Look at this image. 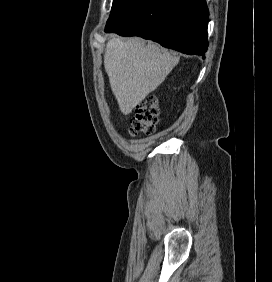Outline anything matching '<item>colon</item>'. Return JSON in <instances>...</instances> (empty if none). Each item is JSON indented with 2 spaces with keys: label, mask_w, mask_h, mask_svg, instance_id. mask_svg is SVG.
Returning a JSON list of instances; mask_svg holds the SVG:
<instances>
[{
  "label": "colon",
  "mask_w": 272,
  "mask_h": 282,
  "mask_svg": "<svg viewBox=\"0 0 272 282\" xmlns=\"http://www.w3.org/2000/svg\"><path fill=\"white\" fill-rule=\"evenodd\" d=\"M158 120L157 102L154 97H149L135 107V113L130 120L129 134L151 135L154 133Z\"/></svg>",
  "instance_id": "1"
}]
</instances>
